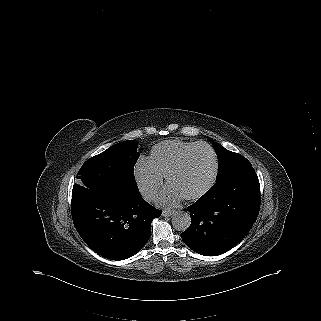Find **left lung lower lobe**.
<instances>
[{"label":"left lung lower lobe","mask_w":321,"mask_h":321,"mask_svg":"<svg viewBox=\"0 0 321 321\" xmlns=\"http://www.w3.org/2000/svg\"><path fill=\"white\" fill-rule=\"evenodd\" d=\"M260 202V184L253 167L231 170L187 208L192 222L181 238L198 254L225 253L250 231Z\"/></svg>","instance_id":"0a47b994"}]
</instances>
